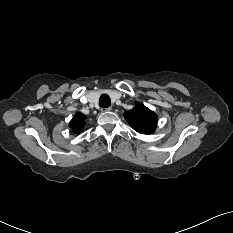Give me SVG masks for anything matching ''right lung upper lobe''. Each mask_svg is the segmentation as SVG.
<instances>
[{
  "label": "right lung upper lobe",
  "instance_id": "cb5924a9",
  "mask_svg": "<svg viewBox=\"0 0 233 233\" xmlns=\"http://www.w3.org/2000/svg\"><path fill=\"white\" fill-rule=\"evenodd\" d=\"M85 116L81 113L76 114L71 120L69 126L72 127L76 133H80L83 131V127L85 126Z\"/></svg>",
  "mask_w": 233,
  "mask_h": 233
}]
</instances>
